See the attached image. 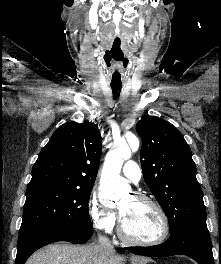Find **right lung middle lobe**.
<instances>
[{"instance_id":"dd1d6c3e","label":"right lung middle lobe","mask_w":221,"mask_h":264,"mask_svg":"<svg viewBox=\"0 0 221 264\" xmlns=\"http://www.w3.org/2000/svg\"><path fill=\"white\" fill-rule=\"evenodd\" d=\"M92 188L44 186L27 190L19 235L31 230L91 228Z\"/></svg>"}]
</instances>
